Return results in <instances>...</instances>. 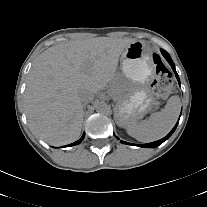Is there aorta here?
Masks as SVG:
<instances>
[{"mask_svg":"<svg viewBox=\"0 0 207 207\" xmlns=\"http://www.w3.org/2000/svg\"><path fill=\"white\" fill-rule=\"evenodd\" d=\"M96 111L101 114H106L110 111V106L106 102L101 101V102L97 103Z\"/></svg>","mask_w":207,"mask_h":207,"instance_id":"1","label":"aorta"}]
</instances>
